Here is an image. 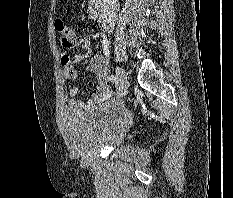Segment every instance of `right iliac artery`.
Returning a JSON list of instances; mask_svg holds the SVG:
<instances>
[{
    "label": "right iliac artery",
    "instance_id": "82829eb1",
    "mask_svg": "<svg viewBox=\"0 0 233 198\" xmlns=\"http://www.w3.org/2000/svg\"><path fill=\"white\" fill-rule=\"evenodd\" d=\"M109 80L113 83H116L117 82V77L115 75H110L109 76Z\"/></svg>",
    "mask_w": 233,
    "mask_h": 198
}]
</instances>
